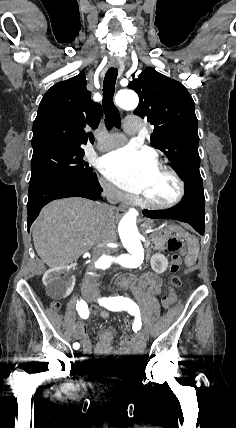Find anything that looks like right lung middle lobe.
<instances>
[{
  "label": "right lung middle lobe",
  "mask_w": 236,
  "mask_h": 428,
  "mask_svg": "<svg viewBox=\"0 0 236 428\" xmlns=\"http://www.w3.org/2000/svg\"><path fill=\"white\" fill-rule=\"evenodd\" d=\"M85 144H47L33 149L29 185L59 176L91 174L92 168L83 160Z\"/></svg>",
  "instance_id": "1"
}]
</instances>
